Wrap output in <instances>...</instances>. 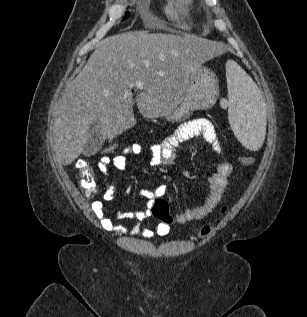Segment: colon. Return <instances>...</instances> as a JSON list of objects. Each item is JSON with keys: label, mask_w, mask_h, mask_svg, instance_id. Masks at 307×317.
Returning a JSON list of instances; mask_svg holds the SVG:
<instances>
[{"label": "colon", "mask_w": 307, "mask_h": 317, "mask_svg": "<svg viewBox=\"0 0 307 317\" xmlns=\"http://www.w3.org/2000/svg\"><path fill=\"white\" fill-rule=\"evenodd\" d=\"M129 146L130 145L123 146L120 144L111 143L106 145L103 148L102 152L111 158L122 157L126 155ZM239 162L241 165L250 166L255 162V158L251 155H241L239 157ZM76 169L78 170L80 176L81 187L84 194L87 197L94 196L96 193V184L93 176V170L90 164L86 160L79 159L76 162ZM226 210L227 207L222 208L223 213H225ZM151 212L155 218L159 219L162 223L166 225L171 224L173 221V218L169 211L168 202L164 199H156L151 208ZM213 229L214 224L204 225L199 231V236L205 238L211 234Z\"/></svg>", "instance_id": "obj_1"}]
</instances>
